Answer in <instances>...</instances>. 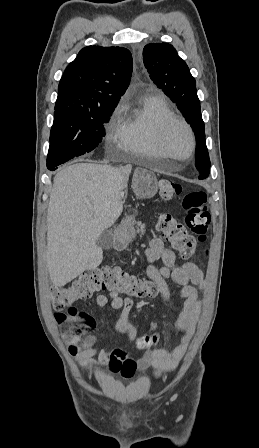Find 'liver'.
Wrapping results in <instances>:
<instances>
[{
    "label": "liver",
    "mask_w": 259,
    "mask_h": 448,
    "mask_svg": "<svg viewBox=\"0 0 259 448\" xmlns=\"http://www.w3.org/2000/svg\"><path fill=\"white\" fill-rule=\"evenodd\" d=\"M130 166L73 164L54 178L47 214V268L54 286H65L103 260L96 242L122 214L120 190Z\"/></svg>",
    "instance_id": "obj_1"
}]
</instances>
